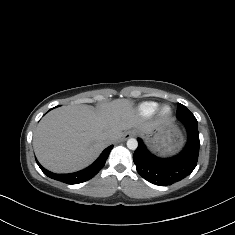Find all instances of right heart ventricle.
I'll return each mask as SVG.
<instances>
[{
    "instance_id": "right-heart-ventricle-1",
    "label": "right heart ventricle",
    "mask_w": 235,
    "mask_h": 235,
    "mask_svg": "<svg viewBox=\"0 0 235 235\" xmlns=\"http://www.w3.org/2000/svg\"><path fill=\"white\" fill-rule=\"evenodd\" d=\"M157 108L158 104L155 102H145L136 107H130L123 101H117L108 107V114L114 120L129 112L142 118H150L156 113Z\"/></svg>"
}]
</instances>
